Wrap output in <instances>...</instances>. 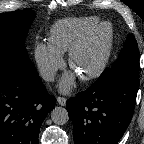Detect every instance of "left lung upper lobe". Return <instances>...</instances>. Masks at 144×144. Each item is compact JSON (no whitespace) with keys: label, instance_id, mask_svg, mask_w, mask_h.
Instances as JSON below:
<instances>
[{"label":"left lung upper lobe","instance_id":"left-lung-upper-lobe-1","mask_svg":"<svg viewBox=\"0 0 144 144\" xmlns=\"http://www.w3.org/2000/svg\"><path fill=\"white\" fill-rule=\"evenodd\" d=\"M139 79V51L133 34H129L116 62L99 77L105 86L122 80Z\"/></svg>","mask_w":144,"mask_h":144}]
</instances>
